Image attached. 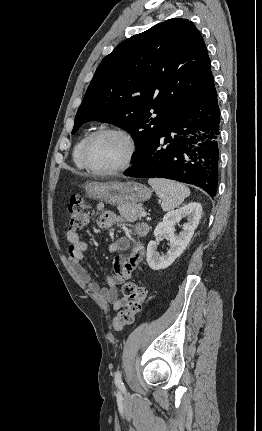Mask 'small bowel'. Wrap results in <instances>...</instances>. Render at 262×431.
Here are the masks:
<instances>
[{
	"mask_svg": "<svg viewBox=\"0 0 262 431\" xmlns=\"http://www.w3.org/2000/svg\"><path fill=\"white\" fill-rule=\"evenodd\" d=\"M103 203L97 205L98 210H102ZM132 226L133 232L137 239L131 241L127 236L118 237L109 247L111 252L123 253L130 251L128 255L119 254L114 261V273L108 276V281L105 287H101L98 283L92 280L91 274L83 265L84 253L87 250V243L84 242L77 233L69 230L65 231V236L68 241V260L70 265L78 277L84 282L91 293H93L100 301L108 303L114 310L126 306L128 300L119 292V286L127 279L132 277V272L138 265L144 255V246L140 238L144 237L148 231V224L143 221H127L114 213H107L100 217L99 225L103 228H109L114 225Z\"/></svg>",
	"mask_w": 262,
	"mask_h": 431,
	"instance_id": "1",
	"label": "small bowel"
}]
</instances>
